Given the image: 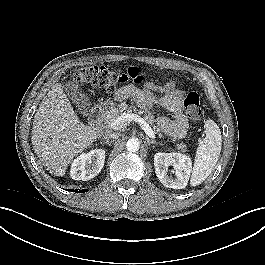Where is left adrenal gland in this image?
I'll list each match as a JSON object with an SVG mask.
<instances>
[{
  "label": "left adrenal gland",
  "instance_id": "obj_1",
  "mask_svg": "<svg viewBox=\"0 0 265 265\" xmlns=\"http://www.w3.org/2000/svg\"><path fill=\"white\" fill-rule=\"evenodd\" d=\"M146 142H147L148 145H151V144H159V145H163V144H161V143H159V142H156V141H154V140H150L148 137L146 138Z\"/></svg>",
  "mask_w": 265,
  "mask_h": 265
}]
</instances>
